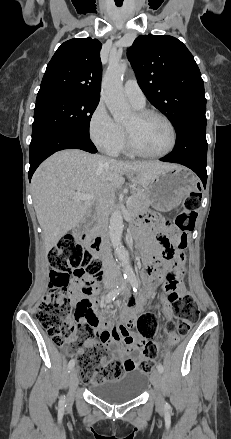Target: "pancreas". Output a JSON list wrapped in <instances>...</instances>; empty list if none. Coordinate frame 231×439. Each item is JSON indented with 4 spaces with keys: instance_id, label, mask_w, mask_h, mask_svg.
<instances>
[{
    "instance_id": "obj_1",
    "label": "pancreas",
    "mask_w": 231,
    "mask_h": 439,
    "mask_svg": "<svg viewBox=\"0 0 231 439\" xmlns=\"http://www.w3.org/2000/svg\"><path fill=\"white\" fill-rule=\"evenodd\" d=\"M150 204L146 193L136 191L132 195V200L129 205V211L132 215L137 214L142 208Z\"/></svg>"
}]
</instances>
